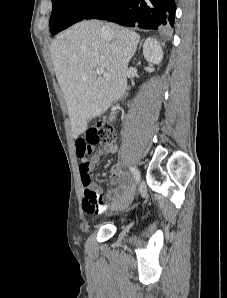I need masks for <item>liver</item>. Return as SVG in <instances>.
<instances>
[{"label": "liver", "instance_id": "liver-1", "mask_svg": "<svg viewBox=\"0 0 227 298\" xmlns=\"http://www.w3.org/2000/svg\"><path fill=\"white\" fill-rule=\"evenodd\" d=\"M139 42L140 35L134 31L84 20L51 43V58L67 104L73 138L84 133L88 121L104 114L125 94L128 62ZM97 68L104 69L110 78L97 77Z\"/></svg>", "mask_w": 227, "mask_h": 298}]
</instances>
